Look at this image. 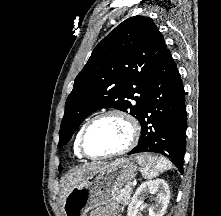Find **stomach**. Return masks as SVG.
<instances>
[{
  "label": "stomach",
  "instance_id": "0dacf381",
  "mask_svg": "<svg viewBox=\"0 0 221 216\" xmlns=\"http://www.w3.org/2000/svg\"><path fill=\"white\" fill-rule=\"evenodd\" d=\"M136 175L137 166L130 159L100 166L67 194L63 202L65 216H87L89 211L110 203Z\"/></svg>",
  "mask_w": 221,
  "mask_h": 216
}]
</instances>
